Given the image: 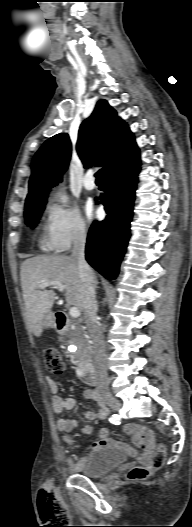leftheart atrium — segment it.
Wrapping results in <instances>:
<instances>
[{
    "instance_id": "left-heart-atrium-1",
    "label": "left heart atrium",
    "mask_w": 192,
    "mask_h": 527,
    "mask_svg": "<svg viewBox=\"0 0 192 527\" xmlns=\"http://www.w3.org/2000/svg\"><path fill=\"white\" fill-rule=\"evenodd\" d=\"M84 213L88 219H91L96 215V209L90 201L85 203Z\"/></svg>"
}]
</instances>
